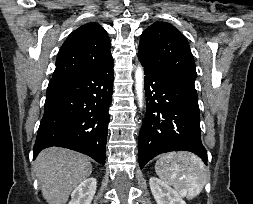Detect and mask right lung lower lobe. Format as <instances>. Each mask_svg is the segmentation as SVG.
<instances>
[{
	"label": "right lung lower lobe",
	"instance_id": "98d812e1",
	"mask_svg": "<svg viewBox=\"0 0 253 204\" xmlns=\"http://www.w3.org/2000/svg\"><path fill=\"white\" fill-rule=\"evenodd\" d=\"M113 59L93 69L50 82L34 158L47 147L84 153L105 164Z\"/></svg>",
	"mask_w": 253,
	"mask_h": 204
}]
</instances>
